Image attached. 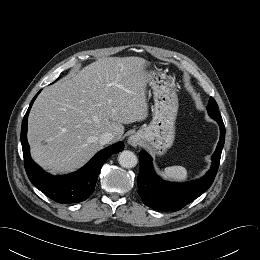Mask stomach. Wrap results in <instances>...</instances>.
<instances>
[{"label": "stomach", "mask_w": 260, "mask_h": 260, "mask_svg": "<svg viewBox=\"0 0 260 260\" xmlns=\"http://www.w3.org/2000/svg\"><path fill=\"white\" fill-rule=\"evenodd\" d=\"M148 84L153 89V119L134 135L153 154L162 156L173 145L178 112L177 89L172 77L160 70L146 71Z\"/></svg>", "instance_id": "0dacf381"}]
</instances>
